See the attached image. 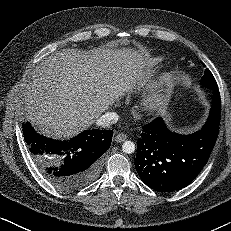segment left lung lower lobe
Segmentation results:
<instances>
[{
    "label": "left lung lower lobe",
    "mask_w": 231,
    "mask_h": 231,
    "mask_svg": "<svg viewBox=\"0 0 231 231\" xmlns=\"http://www.w3.org/2000/svg\"><path fill=\"white\" fill-rule=\"evenodd\" d=\"M221 113L219 90H213L209 117L197 132L182 135L168 129L162 118L145 125L138 139L136 170L141 180L158 192L180 190L207 163L216 143Z\"/></svg>",
    "instance_id": "left-lung-lower-lobe-1"
}]
</instances>
